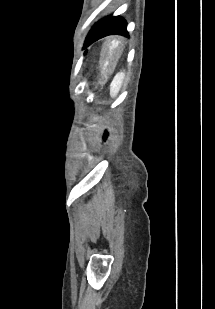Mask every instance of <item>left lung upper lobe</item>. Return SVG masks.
I'll return each mask as SVG.
<instances>
[{
	"mask_svg": "<svg viewBox=\"0 0 215 309\" xmlns=\"http://www.w3.org/2000/svg\"><path fill=\"white\" fill-rule=\"evenodd\" d=\"M112 34L129 36L126 30V22L119 16H109L99 21L88 34L86 43H92L100 38Z\"/></svg>",
	"mask_w": 215,
	"mask_h": 309,
	"instance_id": "1",
	"label": "left lung upper lobe"
}]
</instances>
